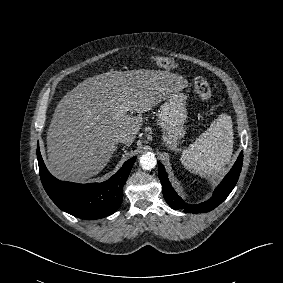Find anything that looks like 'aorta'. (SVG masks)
I'll list each match as a JSON object with an SVG mask.
<instances>
[{
  "instance_id": "762f6f07",
  "label": "aorta",
  "mask_w": 283,
  "mask_h": 283,
  "mask_svg": "<svg viewBox=\"0 0 283 283\" xmlns=\"http://www.w3.org/2000/svg\"><path fill=\"white\" fill-rule=\"evenodd\" d=\"M157 160L153 153H146L140 157V165L145 170H151L156 166Z\"/></svg>"
}]
</instances>
